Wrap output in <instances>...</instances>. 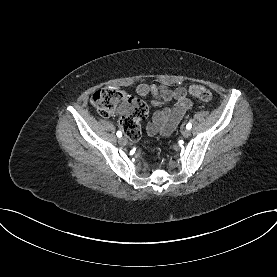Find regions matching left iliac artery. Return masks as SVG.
Returning <instances> with one entry per match:
<instances>
[{
	"mask_svg": "<svg viewBox=\"0 0 277 277\" xmlns=\"http://www.w3.org/2000/svg\"><path fill=\"white\" fill-rule=\"evenodd\" d=\"M191 127H192V124H191V123H188V124L186 125V128H187V129H191Z\"/></svg>",
	"mask_w": 277,
	"mask_h": 277,
	"instance_id": "44dca946",
	"label": "left iliac artery"
}]
</instances>
